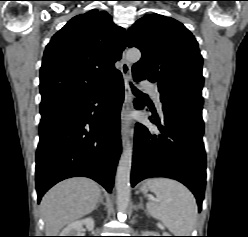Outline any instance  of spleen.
<instances>
[{"mask_svg": "<svg viewBox=\"0 0 248 237\" xmlns=\"http://www.w3.org/2000/svg\"><path fill=\"white\" fill-rule=\"evenodd\" d=\"M146 186L157 196L148 202V213L160 220L175 236H190L197 216V205L192 193L182 184L167 178H151Z\"/></svg>", "mask_w": 248, "mask_h": 237, "instance_id": "obj_1", "label": "spleen"}]
</instances>
